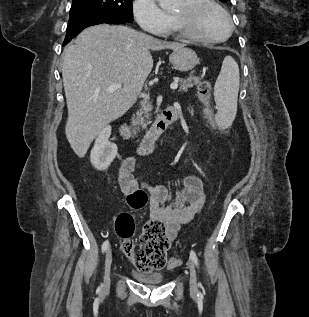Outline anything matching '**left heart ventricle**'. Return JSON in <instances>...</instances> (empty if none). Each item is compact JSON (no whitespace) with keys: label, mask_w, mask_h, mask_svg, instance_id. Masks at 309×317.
<instances>
[{"label":"left heart ventricle","mask_w":309,"mask_h":317,"mask_svg":"<svg viewBox=\"0 0 309 317\" xmlns=\"http://www.w3.org/2000/svg\"><path fill=\"white\" fill-rule=\"evenodd\" d=\"M182 11V6L176 13ZM191 26L198 33L208 37H224L228 32V26L221 13L214 9H206L192 19Z\"/></svg>","instance_id":"1"}]
</instances>
